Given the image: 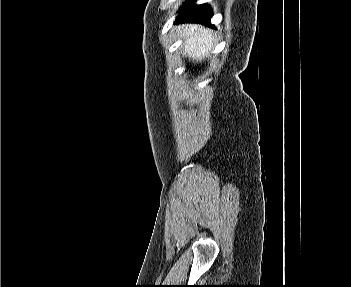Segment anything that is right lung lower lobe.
<instances>
[{"mask_svg":"<svg viewBox=\"0 0 351 287\" xmlns=\"http://www.w3.org/2000/svg\"><path fill=\"white\" fill-rule=\"evenodd\" d=\"M193 3L194 1L183 5L181 13L177 17L175 23L195 22L212 26L210 24V18L212 16L210 7L205 4L193 5Z\"/></svg>","mask_w":351,"mask_h":287,"instance_id":"1","label":"right lung lower lobe"}]
</instances>
